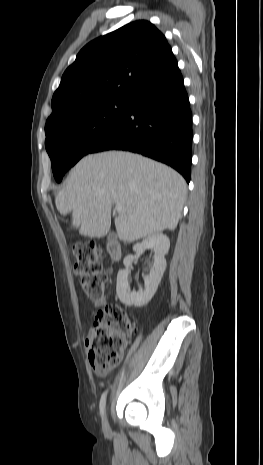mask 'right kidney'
I'll list each match as a JSON object with an SVG mask.
<instances>
[{
	"label": "right kidney",
	"instance_id": "1",
	"mask_svg": "<svg viewBox=\"0 0 263 465\" xmlns=\"http://www.w3.org/2000/svg\"><path fill=\"white\" fill-rule=\"evenodd\" d=\"M170 247L169 238L162 234L157 233L148 236L142 242L137 243L133 246L135 255L129 254L124 260V270H120L117 275L116 292L119 300L126 306H144L154 296L161 278L166 269L165 255L168 253ZM147 249H153L155 251L154 264L150 270L148 276L144 277L145 286L139 289L138 292L130 291L128 285V275L130 273V266L132 262L139 258V256Z\"/></svg>",
	"mask_w": 263,
	"mask_h": 465
}]
</instances>
